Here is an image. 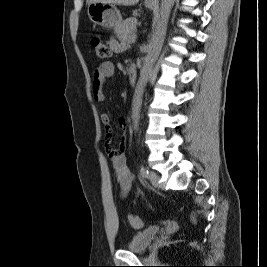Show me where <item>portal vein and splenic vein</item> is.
Listing matches in <instances>:
<instances>
[{
    "label": "portal vein and splenic vein",
    "instance_id": "portal-vein-and-splenic-vein-1",
    "mask_svg": "<svg viewBox=\"0 0 267 267\" xmlns=\"http://www.w3.org/2000/svg\"><path fill=\"white\" fill-rule=\"evenodd\" d=\"M136 38H137L136 35H132V36H130V37L128 38V42H129V43H135Z\"/></svg>",
    "mask_w": 267,
    "mask_h": 267
}]
</instances>
